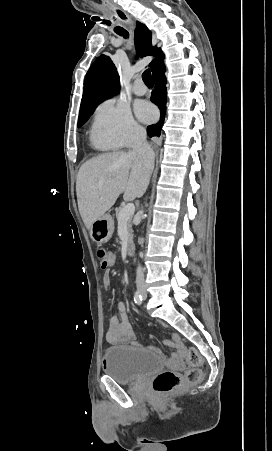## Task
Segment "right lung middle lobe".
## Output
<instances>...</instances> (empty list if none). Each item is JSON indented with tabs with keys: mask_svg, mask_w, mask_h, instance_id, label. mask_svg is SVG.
Segmentation results:
<instances>
[{
	"mask_svg": "<svg viewBox=\"0 0 272 451\" xmlns=\"http://www.w3.org/2000/svg\"><path fill=\"white\" fill-rule=\"evenodd\" d=\"M94 109L95 108L80 110L78 127L82 126L89 119V116L93 113Z\"/></svg>",
	"mask_w": 272,
	"mask_h": 451,
	"instance_id": "obj_1",
	"label": "right lung middle lobe"
}]
</instances>
